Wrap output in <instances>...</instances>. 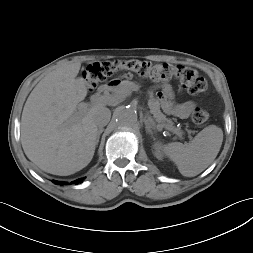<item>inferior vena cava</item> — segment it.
Masks as SVG:
<instances>
[{
  "instance_id": "1",
  "label": "inferior vena cava",
  "mask_w": 253,
  "mask_h": 253,
  "mask_svg": "<svg viewBox=\"0 0 253 253\" xmlns=\"http://www.w3.org/2000/svg\"><path fill=\"white\" fill-rule=\"evenodd\" d=\"M110 118H111L110 110L106 107H103L96 112L94 116V121L99 128H102L109 123Z\"/></svg>"
}]
</instances>
